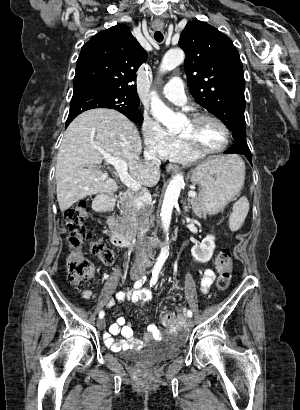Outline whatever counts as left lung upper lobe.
Here are the masks:
<instances>
[{
    "label": "left lung upper lobe",
    "instance_id": "5c2ea615",
    "mask_svg": "<svg viewBox=\"0 0 300 410\" xmlns=\"http://www.w3.org/2000/svg\"><path fill=\"white\" fill-rule=\"evenodd\" d=\"M184 68L195 101L246 143L244 73L239 53L228 36L199 20L187 23L179 40Z\"/></svg>",
    "mask_w": 300,
    "mask_h": 410
}]
</instances>
